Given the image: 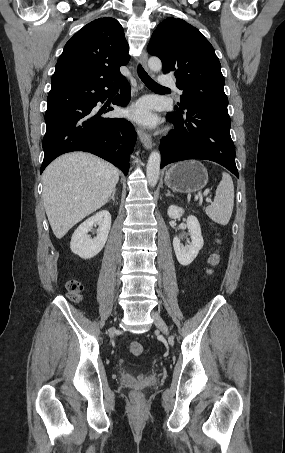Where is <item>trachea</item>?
<instances>
[{
    "label": "trachea",
    "instance_id": "3493384b",
    "mask_svg": "<svg viewBox=\"0 0 285 453\" xmlns=\"http://www.w3.org/2000/svg\"><path fill=\"white\" fill-rule=\"evenodd\" d=\"M138 74L141 80L145 83V85L149 88H164L163 86L156 83L142 68L141 65L138 67Z\"/></svg>",
    "mask_w": 285,
    "mask_h": 453
}]
</instances>
